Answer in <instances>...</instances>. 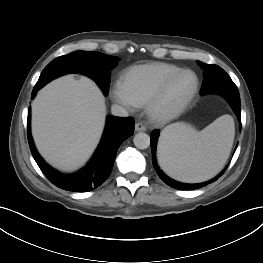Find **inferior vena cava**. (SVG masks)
<instances>
[{"label":"inferior vena cava","instance_id":"obj_1","mask_svg":"<svg viewBox=\"0 0 263 263\" xmlns=\"http://www.w3.org/2000/svg\"><path fill=\"white\" fill-rule=\"evenodd\" d=\"M111 113L114 116H119V117H127L128 116V112L121 106L119 105H112L111 107Z\"/></svg>","mask_w":263,"mask_h":263}]
</instances>
